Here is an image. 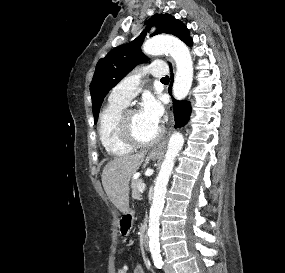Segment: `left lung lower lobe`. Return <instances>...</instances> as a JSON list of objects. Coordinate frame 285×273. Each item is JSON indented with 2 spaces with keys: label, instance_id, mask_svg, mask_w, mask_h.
Here are the masks:
<instances>
[{
  "label": "left lung lower lobe",
  "instance_id": "left-lung-lower-lobe-1",
  "mask_svg": "<svg viewBox=\"0 0 285 273\" xmlns=\"http://www.w3.org/2000/svg\"><path fill=\"white\" fill-rule=\"evenodd\" d=\"M185 43L189 46L192 45V39L190 37L187 38ZM173 79V76H172ZM174 114H175V127L184 126L190 117L191 114V105L187 101H178L174 100L173 104Z\"/></svg>",
  "mask_w": 285,
  "mask_h": 273
}]
</instances>
